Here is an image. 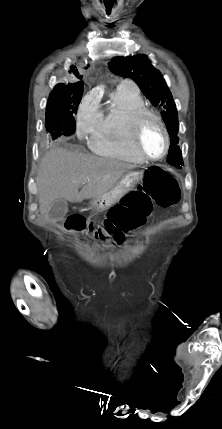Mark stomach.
<instances>
[{
  "instance_id": "1",
  "label": "stomach",
  "mask_w": 222,
  "mask_h": 429,
  "mask_svg": "<svg viewBox=\"0 0 222 429\" xmlns=\"http://www.w3.org/2000/svg\"><path fill=\"white\" fill-rule=\"evenodd\" d=\"M144 170L127 172L121 180L108 192L103 195L93 198L90 201V208L95 212H102L113 206L125 195L126 190L131 189L132 186L138 185L143 181Z\"/></svg>"
}]
</instances>
